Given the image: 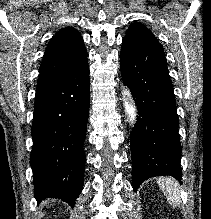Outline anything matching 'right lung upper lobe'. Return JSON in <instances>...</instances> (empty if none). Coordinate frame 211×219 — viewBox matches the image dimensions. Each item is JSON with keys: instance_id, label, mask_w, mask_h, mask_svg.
<instances>
[{"instance_id": "obj_1", "label": "right lung upper lobe", "mask_w": 211, "mask_h": 219, "mask_svg": "<svg viewBox=\"0 0 211 219\" xmlns=\"http://www.w3.org/2000/svg\"><path fill=\"white\" fill-rule=\"evenodd\" d=\"M87 60V51L79 32L66 27L50 40L40 66L37 89L57 81Z\"/></svg>"}]
</instances>
